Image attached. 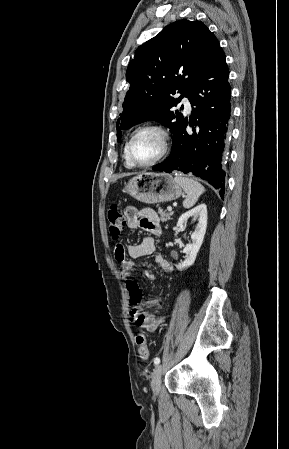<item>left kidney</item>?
I'll use <instances>...</instances> for the list:
<instances>
[{"mask_svg":"<svg viewBox=\"0 0 289 449\" xmlns=\"http://www.w3.org/2000/svg\"><path fill=\"white\" fill-rule=\"evenodd\" d=\"M190 218L197 220L198 222L195 231L191 234L192 243L188 244L183 250L185 260L181 264L176 265L178 270L189 268L196 259L206 233L207 206L205 204H200L192 210L182 214L177 222V228L183 226Z\"/></svg>","mask_w":289,"mask_h":449,"instance_id":"5707ae66","label":"left kidney"}]
</instances>
